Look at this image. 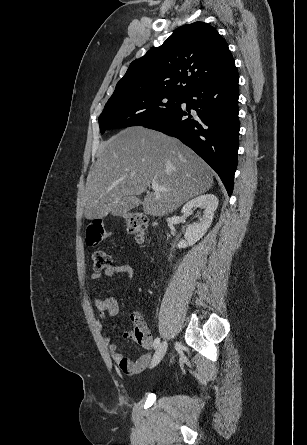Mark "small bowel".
Masks as SVG:
<instances>
[{
	"mask_svg": "<svg viewBox=\"0 0 307 445\" xmlns=\"http://www.w3.org/2000/svg\"><path fill=\"white\" fill-rule=\"evenodd\" d=\"M133 274L134 271L130 264L111 265L105 269L103 274L98 271L93 272L91 274V279L93 281H99L103 278V276L114 277L117 275L132 278ZM93 300L100 318L104 319L106 317H114L118 314L119 306L114 297L102 298L96 294L94 295ZM124 336L126 338H132V334L129 332L125 333ZM103 340L113 361L118 364L123 372L127 374H138L147 366L150 360V354L145 353L140 355L136 360H131L118 352L117 346L111 342L109 337H104ZM151 344L152 341L148 346L143 347L145 349H150Z\"/></svg>",
	"mask_w": 307,
	"mask_h": 445,
	"instance_id": "small-bowel-1",
	"label": "small bowel"
}]
</instances>
